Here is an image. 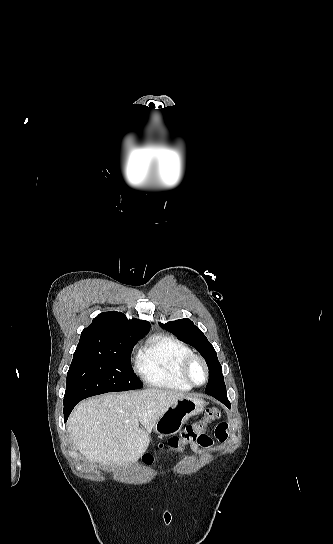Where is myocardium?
<instances>
[{
	"mask_svg": "<svg viewBox=\"0 0 333 544\" xmlns=\"http://www.w3.org/2000/svg\"><path fill=\"white\" fill-rule=\"evenodd\" d=\"M195 362H199L204 368L205 379L202 383L194 382L190 376V369ZM179 373L182 380L191 387H200L205 385L208 382L210 376L208 364L203 357L197 354H191L182 361Z\"/></svg>",
	"mask_w": 333,
	"mask_h": 544,
	"instance_id": "myocardium-1",
	"label": "myocardium"
}]
</instances>
